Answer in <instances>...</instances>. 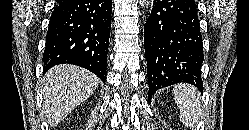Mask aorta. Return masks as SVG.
<instances>
[{
	"label": "aorta",
	"instance_id": "762f6f07",
	"mask_svg": "<svg viewBox=\"0 0 249 130\" xmlns=\"http://www.w3.org/2000/svg\"><path fill=\"white\" fill-rule=\"evenodd\" d=\"M144 2H145V5L147 6V8L148 7H152V5H153V1L152 0H146Z\"/></svg>",
	"mask_w": 249,
	"mask_h": 130
}]
</instances>
